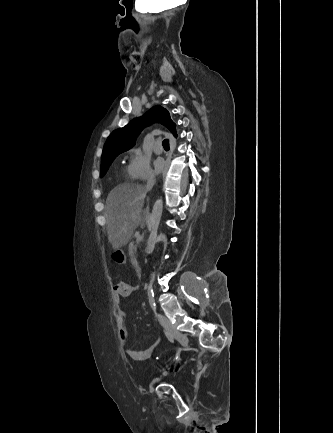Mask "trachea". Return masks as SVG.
<instances>
[{
    "label": "trachea",
    "mask_w": 333,
    "mask_h": 433,
    "mask_svg": "<svg viewBox=\"0 0 333 433\" xmlns=\"http://www.w3.org/2000/svg\"><path fill=\"white\" fill-rule=\"evenodd\" d=\"M163 147H164L165 149H169V141H168V139H164V140H163Z\"/></svg>",
    "instance_id": "trachea-1"
}]
</instances>
